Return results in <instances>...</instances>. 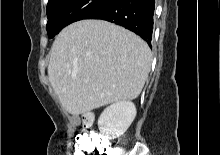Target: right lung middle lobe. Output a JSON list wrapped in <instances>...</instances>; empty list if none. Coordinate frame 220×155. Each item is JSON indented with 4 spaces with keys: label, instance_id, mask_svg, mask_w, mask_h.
Here are the masks:
<instances>
[{
    "label": "right lung middle lobe",
    "instance_id": "obj_1",
    "mask_svg": "<svg viewBox=\"0 0 220 155\" xmlns=\"http://www.w3.org/2000/svg\"><path fill=\"white\" fill-rule=\"evenodd\" d=\"M115 0H52L47 4V33L53 38L65 26L85 19Z\"/></svg>",
    "mask_w": 220,
    "mask_h": 155
}]
</instances>
